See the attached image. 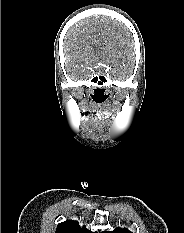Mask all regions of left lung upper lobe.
Instances as JSON below:
<instances>
[{
	"label": "left lung upper lobe",
	"mask_w": 184,
	"mask_h": 233,
	"mask_svg": "<svg viewBox=\"0 0 184 233\" xmlns=\"http://www.w3.org/2000/svg\"><path fill=\"white\" fill-rule=\"evenodd\" d=\"M103 233H132V232L129 231L127 228L121 229L120 227H117L113 231H105Z\"/></svg>",
	"instance_id": "5c2ea615"
}]
</instances>
